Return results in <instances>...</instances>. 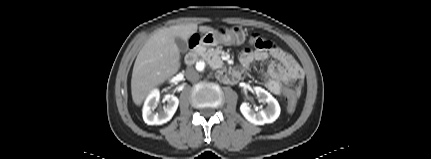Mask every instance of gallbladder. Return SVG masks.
<instances>
[{"label":"gallbladder","instance_id":"gallbladder-1","mask_svg":"<svg viewBox=\"0 0 431 159\" xmlns=\"http://www.w3.org/2000/svg\"><path fill=\"white\" fill-rule=\"evenodd\" d=\"M175 43H176L177 47L179 48L180 52L186 53L188 51V43L186 40H184L180 37H176Z\"/></svg>","mask_w":431,"mask_h":159}]
</instances>
